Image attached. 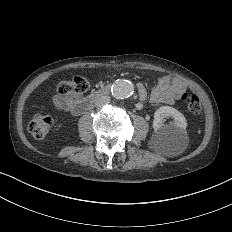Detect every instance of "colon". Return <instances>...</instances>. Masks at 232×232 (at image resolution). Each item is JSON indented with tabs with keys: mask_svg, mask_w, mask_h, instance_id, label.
<instances>
[{
	"mask_svg": "<svg viewBox=\"0 0 232 232\" xmlns=\"http://www.w3.org/2000/svg\"><path fill=\"white\" fill-rule=\"evenodd\" d=\"M65 79H69V81L61 80L57 84V89L61 93H80L94 89V84H90L86 77L78 75L70 77V74H65ZM180 101L185 102L183 111H196V107H199L198 96L194 92L183 94ZM191 117H196V112H191ZM29 121L33 126H26V131H32L33 137H46L48 125H53L50 112H37V116H29Z\"/></svg>",
	"mask_w": 232,
	"mask_h": 232,
	"instance_id": "colon-1",
	"label": "colon"
}]
</instances>
